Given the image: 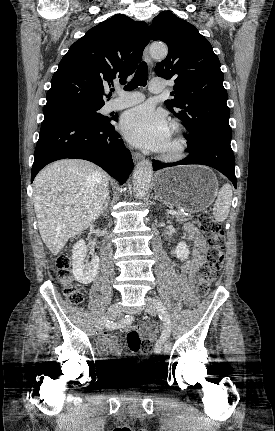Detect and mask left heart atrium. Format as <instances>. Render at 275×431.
Returning a JSON list of instances; mask_svg holds the SVG:
<instances>
[{"label":"left heart atrium","instance_id":"left-heart-atrium-1","mask_svg":"<svg viewBox=\"0 0 275 431\" xmlns=\"http://www.w3.org/2000/svg\"><path fill=\"white\" fill-rule=\"evenodd\" d=\"M169 129L164 114L149 105H140L127 111L120 121V130L129 142L154 151L164 149Z\"/></svg>","mask_w":275,"mask_h":431}]
</instances>
